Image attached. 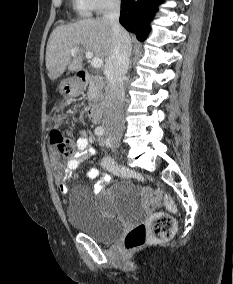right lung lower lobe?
Masks as SVG:
<instances>
[{
	"mask_svg": "<svg viewBox=\"0 0 233 284\" xmlns=\"http://www.w3.org/2000/svg\"><path fill=\"white\" fill-rule=\"evenodd\" d=\"M163 0H122L120 23L137 35L140 41L145 40L150 31L149 23Z\"/></svg>",
	"mask_w": 233,
	"mask_h": 284,
	"instance_id": "98d812e1",
	"label": "right lung lower lobe"
}]
</instances>
